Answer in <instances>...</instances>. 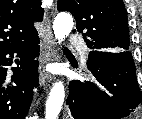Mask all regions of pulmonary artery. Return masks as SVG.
Segmentation results:
<instances>
[{
	"label": "pulmonary artery",
	"instance_id": "e3ab8cb5",
	"mask_svg": "<svg viewBox=\"0 0 142 119\" xmlns=\"http://www.w3.org/2000/svg\"><path fill=\"white\" fill-rule=\"evenodd\" d=\"M68 43L71 45H75L80 47V51L82 54V59L85 61L86 60V55H87V47L85 46L84 42L82 41L81 37L77 35H70L68 39Z\"/></svg>",
	"mask_w": 142,
	"mask_h": 119
}]
</instances>
